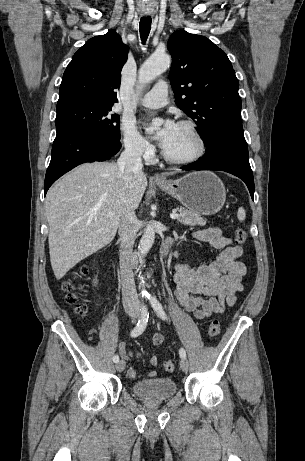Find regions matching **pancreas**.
Returning a JSON list of instances; mask_svg holds the SVG:
<instances>
[{"label": "pancreas", "instance_id": "cf45deb5", "mask_svg": "<svg viewBox=\"0 0 305 461\" xmlns=\"http://www.w3.org/2000/svg\"><path fill=\"white\" fill-rule=\"evenodd\" d=\"M176 210L179 212V217L177 218V221L183 225L205 226L207 223L205 218L192 211L186 210L183 207L176 208Z\"/></svg>", "mask_w": 305, "mask_h": 461}]
</instances>
